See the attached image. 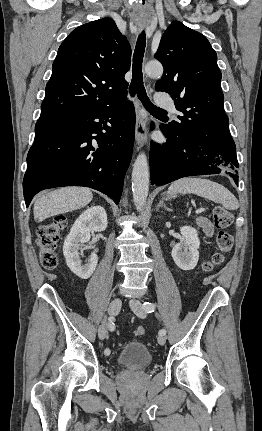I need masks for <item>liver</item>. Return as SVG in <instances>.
Listing matches in <instances>:
<instances>
[{"instance_id": "obj_1", "label": "liver", "mask_w": 262, "mask_h": 431, "mask_svg": "<svg viewBox=\"0 0 262 431\" xmlns=\"http://www.w3.org/2000/svg\"><path fill=\"white\" fill-rule=\"evenodd\" d=\"M92 198L88 188L65 187L51 191L35 200L34 219L42 222L46 218L83 208Z\"/></svg>"}]
</instances>
